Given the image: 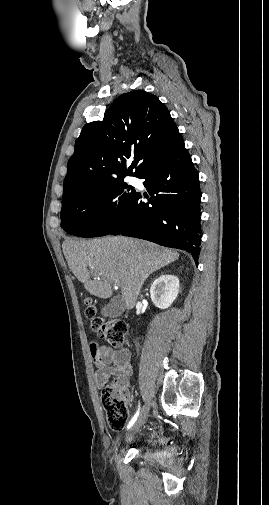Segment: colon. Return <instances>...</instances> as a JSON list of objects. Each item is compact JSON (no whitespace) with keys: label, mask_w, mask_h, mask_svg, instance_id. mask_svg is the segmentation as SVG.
I'll list each match as a JSON object with an SVG mask.
<instances>
[{"label":"colon","mask_w":269,"mask_h":505,"mask_svg":"<svg viewBox=\"0 0 269 505\" xmlns=\"http://www.w3.org/2000/svg\"><path fill=\"white\" fill-rule=\"evenodd\" d=\"M85 314L91 321L92 329L100 338L108 342L113 348L121 350L125 344L127 324L119 319L104 320L97 315L96 305L88 301ZM102 403L105 408L109 427L121 431L128 419L126 406L122 400L121 387H107L102 393Z\"/></svg>","instance_id":"1"}]
</instances>
